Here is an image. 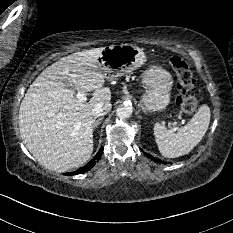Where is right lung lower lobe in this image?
Listing matches in <instances>:
<instances>
[{"label": "right lung lower lobe", "mask_w": 233, "mask_h": 233, "mask_svg": "<svg viewBox=\"0 0 233 233\" xmlns=\"http://www.w3.org/2000/svg\"><path fill=\"white\" fill-rule=\"evenodd\" d=\"M102 153H103V147L100 148V150L95 155V157L90 162H88L85 166H83L82 168L74 172L66 173L65 175H76V174L84 173L85 171L91 169L96 164V162L100 160Z\"/></svg>", "instance_id": "1"}]
</instances>
